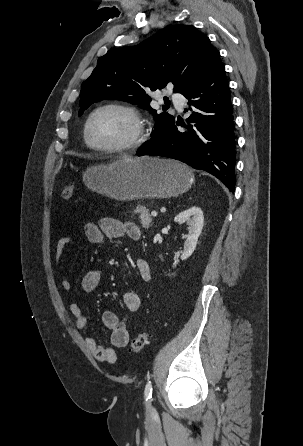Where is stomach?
<instances>
[{"label":"stomach","instance_id":"obj_1","mask_svg":"<svg viewBox=\"0 0 303 446\" xmlns=\"http://www.w3.org/2000/svg\"><path fill=\"white\" fill-rule=\"evenodd\" d=\"M83 181L96 193L127 201L177 196L191 187L194 176L187 166L177 161L141 157L89 167Z\"/></svg>","mask_w":303,"mask_h":446}]
</instances>
